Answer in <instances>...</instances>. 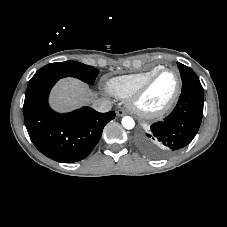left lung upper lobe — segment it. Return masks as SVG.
<instances>
[{
    "label": "left lung upper lobe",
    "instance_id": "left-lung-upper-lobe-1",
    "mask_svg": "<svg viewBox=\"0 0 227 227\" xmlns=\"http://www.w3.org/2000/svg\"><path fill=\"white\" fill-rule=\"evenodd\" d=\"M177 65L181 73L182 90L194 89L197 91H203L202 85L195 72L191 68L179 62L177 63Z\"/></svg>",
    "mask_w": 227,
    "mask_h": 227
}]
</instances>
